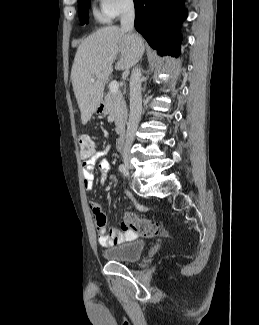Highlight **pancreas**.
I'll return each mask as SVG.
<instances>
[{
  "mask_svg": "<svg viewBox=\"0 0 259 325\" xmlns=\"http://www.w3.org/2000/svg\"><path fill=\"white\" fill-rule=\"evenodd\" d=\"M106 114L115 122L117 134H123L127 121V106L120 92H108L105 96Z\"/></svg>",
  "mask_w": 259,
  "mask_h": 325,
  "instance_id": "pancreas-1",
  "label": "pancreas"
}]
</instances>
